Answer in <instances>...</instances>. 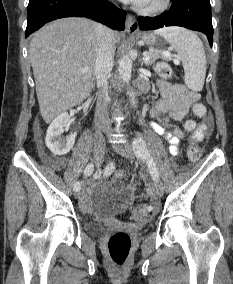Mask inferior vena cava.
<instances>
[{
  "mask_svg": "<svg viewBox=\"0 0 233 284\" xmlns=\"http://www.w3.org/2000/svg\"><path fill=\"white\" fill-rule=\"evenodd\" d=\"M97 58L95 62V76L97 81L98 100L95 111V123L98 130H111V121L108 115V78L113 68L115 55V37L113 31L102 24L96 26Z\"/></svg>",
  "mask_w": 233,
  "mask_h": 284,
  "instance_id": "obj_1",
  "label": "inferior vena cava"
}]
</instances>
